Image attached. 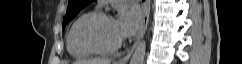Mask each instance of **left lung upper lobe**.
Segmentation results:
<instances>
[{"instance_id": "1", "label": "left lung upper lobe", "mask_w": 242, "mask_h": 64, "mask_svg": "<svg viewBox=\"0 0 242 64\" xmlns=\"http://www.w3.org/2000/svg\"><path fill=\"white\" fill-rule=\"evenodd\" d=\"M94 0H69L66 15L63 18V29L82 8L93 2Z\"/></svg>"}]
</instances>
